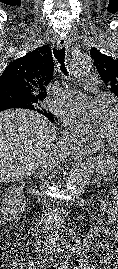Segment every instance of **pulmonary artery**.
I'll return each mask as SVG.
<instances>
[{
  "label": "pulmonary artery",
  "mask_w": 118,
  "mask_h": 269,
  "mask_svg": "<svg viewBox=\"0 0 118 269\" xmlns=\"http://www.w3.org/2000/svg\"><path fill=\"white\" fill-rule=\"evenodd\" d=\"M96 77H87L84 79L83 85L87 90H95L98 86ZM84 94L76 90H67L64 96L56 97L54 101L63 106L77 105L84 99Z\"/></svg>",
  "instance_id": "obj_1"
}]
</instances>
